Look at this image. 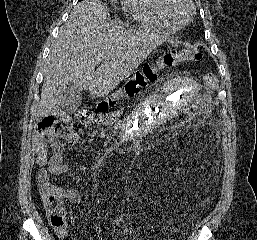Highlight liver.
Listing matches in <instances>:
<instances>
[{"label":"liver","instance_id":"1","mask_svg":"<svg viewBox=\"0 0 257 240\" xmlns=\"http://www.w3.org/2000/svg\"><path fill=\"white\" fill-rule=\"evenodd\" d=\"M108 16L100 0L74 7L46 61L39 116L58 113L69 82L79 91L89 89L92 99L108 95L166 41L148 31L124 29L109 22Z\"/></svg>","mask_w":257,"mask_h":240}]
</instances>
